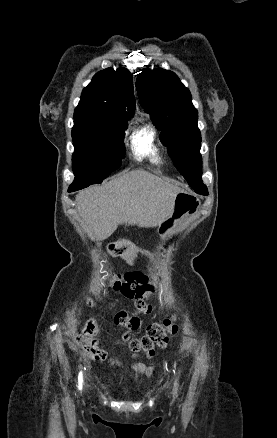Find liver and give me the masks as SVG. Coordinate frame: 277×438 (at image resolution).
<instances>
[{
    "label": "liver",
    "instance_id": "6515ba94",
    "mask_svg": "<svg viewBox=\"0 0 277 438\" xmlns=\"http://www.w3.org/2000/svg\"><path fill=\"white\" fill-rule=\"evenodd\" d=\"M180 188L157 176L133 170L103 186L78 192L75 202L81 222L91 240H106L119 224L154 228L170 216L174 196Z\"/></svg>",
    "mask_w": 277,
    "mask_h": 438
}]
</instances>
